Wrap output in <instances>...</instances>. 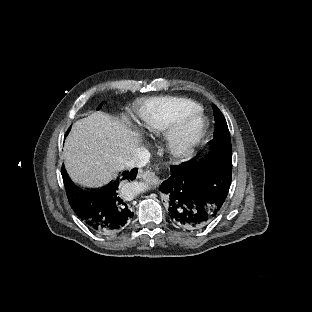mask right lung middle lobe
Listing matches in <instances>:
<instances>
[{
  "mask_svg": "<svg viewBox=\"0 0 312 312\" xmlns=\"http://www.w3.org/2000/svg\"><path fill=\"white\" fill-rule=\"evenodd\" d=\"M102 105H100L97 109L99 110L101 108Z\"/></svg>",
  "mask_w": 312,
  "mask_h": 312,
  "instance_id": "dd1d6c3e",
  "label": "right lung middle lobe"
}]
</instances>
